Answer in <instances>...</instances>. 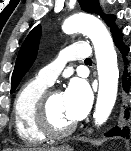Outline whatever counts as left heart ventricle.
Here are the masks:
<instances>
[{
  "mask_svg": "<svg viewBox=\"0 0 131 151\" xmlns=\"http://www.w3.org/2000/svg\"><path fill=\"white\" fill-rule=\"evenodd\" d=\"M48 111L50 122L55 129H64L74 123L66 114L63 95L61 93L51 97Z\"/></svg>",
  "mask_w": 131,
  "mask_h": 151,
  "instance_id": "obj_1",
  "label": "left heart ventricle"
}]
</instances>
